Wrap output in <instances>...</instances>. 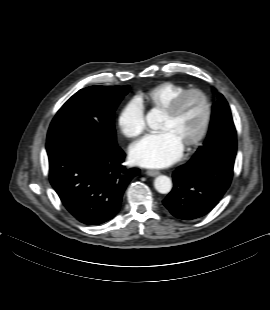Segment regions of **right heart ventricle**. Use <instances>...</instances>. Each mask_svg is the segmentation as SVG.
<instances>
[{
    "mask_svg": "<svg viewBox=\"0 0 270 310\" xmlns=\"http://www.w3.org/2000/svg\"><path fill=\"white\" fill-rule=\"evenodd\" d=\"M185 89V86L177 83L163 82L140 93L138 99L147 109L162 112L171 100Z\"/></svg>",
    "mask_w": 270,
    "mask_h": 310,
    "instance_id": "obj_1",
    "label": "right heart ventricle"
}]
</instances>
